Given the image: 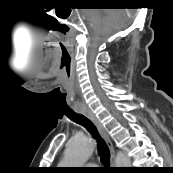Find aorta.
<instances>
[{
	"label": "aorta",
	"mask_w": 173,
	"mask_h": 173,
	"mask_svg": "<svg viewBox=\"0 0 173 173\" xmlns=\"http://www.w3.org/2000/svg\"><path fill=\"white\" fill-rule=\"evenodd\" d=\"M94 151V144L88 137H76L68 144L61 162L64 167H81ZM116 167H130L131 160L123 152H118L115 159Z\"/></svg>",
	"instance_id": "1"
}]
</instances>
